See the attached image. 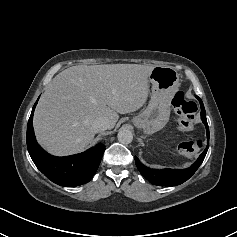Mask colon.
I'll list each match as a JSON object with an SVG mask.
<instances>
[{
	"label": "colon",
	"mask_w": 237,
	"mask_h": 237,
	"mask_svg": "<svg viewBox=\"0 0 237 237\" xmlns=\"http://www.w3.org/2000/svg\"><path fill=\"white\" fill-rule=\"evenodd\" d=\"M172 109L177 115L176 126L181 131L189 130L194 125L197 105L186 98L181 91L177 92L172 100ZM185 153H196L202 148L200 141H186L179 145Z\"/></svg>",
	"instance_id": "obj_1"
}]
</instances>
